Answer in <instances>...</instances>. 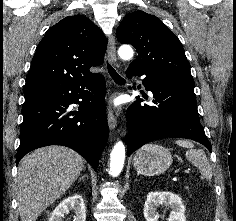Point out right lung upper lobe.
<instances>
[{
    "mask_svg": "<svg viewBox=\"0 0 236 221\" xmlns=\"http://www.w3.org/2000/svg\"><path fill=\"white\" fill-rule=\"evenodd\" d=\"M107 47L103 32L88 18L67 16L52 26L39 43L26 77L24 94L73 80L96 76Z\"/></svg>",
    "mask_w": 236,
    "mask_h": 221,
    "instance_id": "right-lung-upper-lobe-1",
    "label": "right lung upper lobe"
}]
</instances>
